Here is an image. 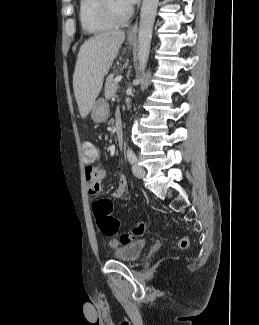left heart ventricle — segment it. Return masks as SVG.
<instances>
[{
  "instance_id": "1",
  "label": "left heart ventricle",
  "mask_w": 259,
  "mask_h": 325,
  "mask_svg": "<svg viewBox=\"0 0 259 325\" xmlns=\"http://www.w3.org/2000/svg\"><path fill=\"white\" fill-rule=\"evenodd\" d=\"M113 4L116 10L120 13L124 12L128 7L122 0H113Z\"/></svg>"
}]
</instances>
